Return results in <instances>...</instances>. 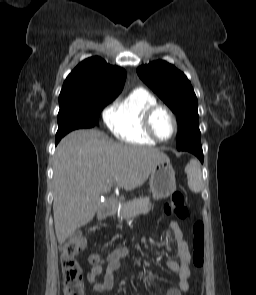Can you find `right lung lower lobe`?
<instances>
[{
    "label": "right lung lower lobe",
    "instance_id": "1",
    "mask_svg": "<svg viewBox=\"0 0 256 295\" xmlns=\"http://www.w3.org/2000/svg\"><path fill=\"white\" fill-rule=\"evenodd\" d=\"M87 125H88L87 128H91V127L95 126L94 123L92 122V120L89 118L87 119ZM62 137L63 136H56V140H55L56 145L61 140Z\"/></svg>",
    "mask_w": 256,
    "mask_h": 295
}]
</instances>
